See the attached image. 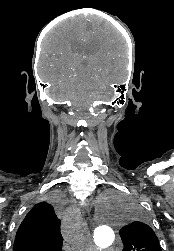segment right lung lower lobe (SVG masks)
Segmentation results:
<instances>
[{
	"label": "right lung lower lobe",
	"mask_w": 174,
	"mask_h": 251,
	"mask_svg": "<svg viewBox=\"0 0 174 251\" xmlns=\"http://www.w3.org/2000/svg\"><path fill=\"white\" fill-rule=\"evenodd\" d=\"M33 249H27V248H17L16 251H29Z\"/></svg>",
	"instance_id": "right-lung-lower-lobe-1"
}]
</instances>
